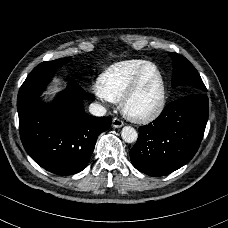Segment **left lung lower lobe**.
Segmentation results:
<instances>
[{
	"instance_id": "0a47b994",
	"label": "left lung lower lobe",
	"mask_w": 228,
	"mask_h": 228,
	"mask_svg": "<svg viewBox=\"0 0 228 228\" xmlns=\"http://www.w3.org/2000/svg\"><path fill=\"white\" fill-rule=\"evenodd\" d=\"M205 93H193L169 103L152 123L139 127L130 150L133 166L150 176H163L189 162L197 152L208 120Z\"/></svg>"
}]
</instances>
